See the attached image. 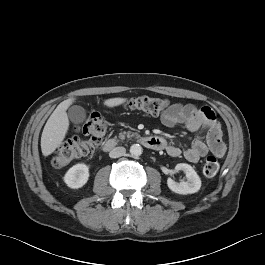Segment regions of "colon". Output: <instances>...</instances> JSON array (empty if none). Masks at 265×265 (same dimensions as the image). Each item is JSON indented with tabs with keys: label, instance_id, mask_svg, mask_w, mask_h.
<instances>
[{
	"label": "colon",
	"instance_id": "5ec220e1",
	"mask_svg": "<svg viewBox=\"0 0 265 265\" xmlns=\"http://www.w3.org/2000/svg\"><path fill=\"white\" fill-rule=\"evenodd\" d=\"M129 107L150 116H162L167 112L169 102L166 99L140 96L131 99ZM78 130L83 137H73L57 148L52 158L54 167H63L77 158L92 153L106 135L107 122L101 114L90 113ZM219 166L215 156H208L203 164L204 175L214 177L219 171Z\"/></svg>",
	"mask_w": 265,
	"mask_h": 265
}]
</instances>
